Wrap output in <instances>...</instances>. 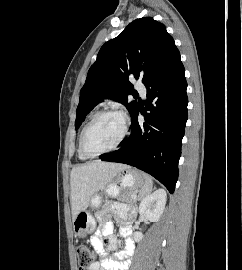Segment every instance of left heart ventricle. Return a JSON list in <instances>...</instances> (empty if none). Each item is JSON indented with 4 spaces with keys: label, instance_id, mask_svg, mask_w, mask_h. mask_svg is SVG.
<instances>
[{
    "label": "left heart ventricle",
    "instance_id": "1",
    "mask_svg": "<svg viewBox=\"0 0 242 270\" xmlns=\"http://www.w3.org/2000/svg\"><path fill=\"white\" fill-rule=\"evenodd\" d=\"M123 132V120L118 115L101 117L89 130L85 145L92 153L106 150L113 146Z\"/></svg>",
    "mask_w": 242,
    "mask_h": 270
}]
</instances>
